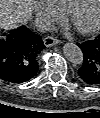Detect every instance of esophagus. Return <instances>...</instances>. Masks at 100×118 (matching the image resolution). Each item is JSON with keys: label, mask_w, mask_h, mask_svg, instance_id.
<instances>
[{"label": "esophagus", "mask_w": 100, "mask_h": 118, "mask_svg": "<svg viewBox=\"0 0 100 118\" xmlns=\"http://www.w3.org/2000/svg\"><path fill=\"white\" fill-rule=\"evenodd\" d=\"M59 43H60V40L53 36H48V37L44 38V45L46 47H51V46L57 45Z\"/></svg>", "instance_id": "1"}]
</instances>
